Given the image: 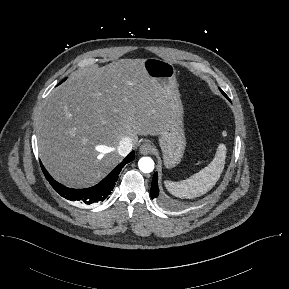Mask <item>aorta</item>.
I'll return each instance as SVG.
<instances>
[{
	"label": "aorta",
	"instance_id": "762f6f07",
	"mask_svg": "<svg viewBox=\"0 0 289 289\" xmlns=\"http://www.w3.org/2000/svg\"><path fill=\"white\" fill-rule=\"evenodd\" d=\"M139 169L144 173H150L154 170V161L150 157H142L138 162Z\"/></svg>",
	"mask_w": 289,
	"mask_h": 289
}]
</instances>
